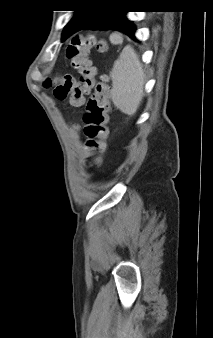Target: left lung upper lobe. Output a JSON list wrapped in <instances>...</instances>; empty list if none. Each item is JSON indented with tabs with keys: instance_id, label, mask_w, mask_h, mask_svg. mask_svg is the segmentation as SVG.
<instances>
[{
	"instance_id": "obj_1",
	"label": "left lung upper lobe",
	"mask_w": 213,
	"mask_h": 338,
	"mask_svg": "<svg viewBox=\"0 0 213 338\" xmlns=\"http://www.w3.org/2000/svg\"><path fill=\"white\" fill-rule=\"evenodd\" d=\"M85 10H77L75 15L72 17V19L70 20V22L66 25L64 31H63V35H62V41H64L66 39V32L67 29L69 28V26L84 12Z\"/></svg>"
}]
</instances>
